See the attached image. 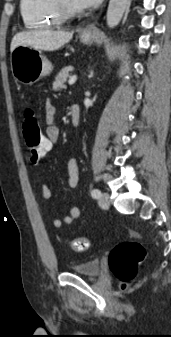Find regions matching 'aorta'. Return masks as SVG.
I'll return each instance as SVG.
<instances>
[{"instance_id":"1","label":"aorta","mask_w":171,"mask_h":337,"mask_svg":"<svg viewBox=\"0 0 171 337\" xmlns=\"http://www.w3.org/2000/svg\"><path fill=\"white\" fill-rule=\"evenodd\" d=\"M128 0H110L106 21L110 28L116 27L121 21Z\"/></svg>"}]
</instances>
